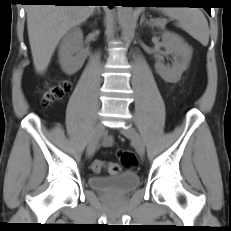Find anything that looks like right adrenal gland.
Listing matches in <instances>:
<instances>
[{"instance_id":"1","label":"right adrenal gland","mask_w":231,"mask_h":231,"mask_svg":"<svg viewBox=\"0 0 231 231\" xmlns=\"http://www.w3.org/2000/svg\"><path fill=\"white\" fill-rule=\"evenodd\" d=\"M96 13L100 14V7H99V6L96 7V9H95L94 12L92 13V15H94V14H96Z\"/></svg>"}]
</instances>
